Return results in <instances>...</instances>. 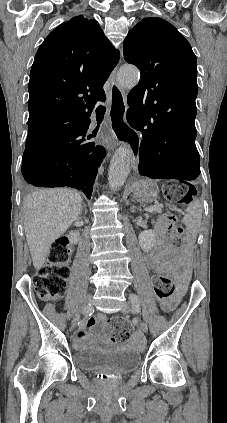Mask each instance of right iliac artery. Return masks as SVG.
Segmentation results:
<instances>
[{"label": "right iliac artery", "mask_w": 227, "mask_h": 423, "mask_svg": "<svg viewBox=\"0 0 227 423\" xmlns=\"http://www.w3.org/2000/svg\"><path fill=\"white\" fill-rule=\"evenodd\" d=\"M91 314H92V311L87 306V308H85L84 311H83L82 321L78 322L79 328H83L85 326V323H87V320H89Z\"/></svg>", "instance_id": "obj_1"}]
</instances>
